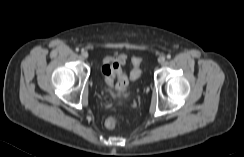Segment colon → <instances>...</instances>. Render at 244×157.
<instances>
[{"label": "colon", "instance_id": "colon-1", "mask_svg": "<svg viewBox=\"0 0 244 157\" xmlns=\"http://www.w3.org/2000/svg\"><path fill=\"white\" fill-rule=\"evenodd\" d=\"M142 57H134L132 59L133 68L130 73L131 80H137L141 75L140 65ZM105 82L108 86H113L116 80V88L119 93H124L128 86V77L123 71L122 67L117 63L106 64L102 67ZM119 124L117 116H110L106 119L105 125L109 129H114Z\"/></svg>", "mask_w": 244, "mask_h": 157}]
</instances>
